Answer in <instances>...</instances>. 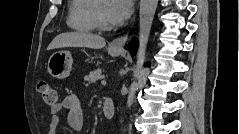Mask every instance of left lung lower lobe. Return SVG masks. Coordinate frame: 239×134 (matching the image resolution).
<instances>
[{
  "mask_svg": "<svg viewBox=\"0 0 239 134\" xmlns=\"http://www.w3.org/2000/svg\"><path fill=\"white\" fill-rule=\"evenodd\" d=\"M137 46H138V42L135 39H133L131 41V43L128 45V47L133 55H135V53H136Z\"/></svg>",
  "mask_w": 239,
  "mask_h": 134,
  "instance_id": "0a47b994",
  "label": "left lung lower lobe"
}]
</instances>
